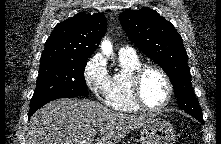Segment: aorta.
I'll list each match as a JSON object with an SVG mask.
<instances>
[{
    "label": "aorta",
    "instance_id": "1",
    "mask_svg": "<svg viewBox=\"0 0 221 144\" xmlns=\"http://www.w3.org/2000/svg\"><path fill=\"white\" fill-rule=\"evenodd\" d=\"M101 50H102V53L106 55L107 57H109L112 54L113 52L112 44L108 39H104L101 42Z\"/></svg>",
    "mask_w": 221,
    "mask_h": 144
}]
</instances>
